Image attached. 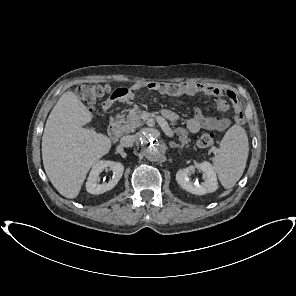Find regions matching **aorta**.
I'll return each instance as SVG.
<instances>
[{
    "label": "aorta",
    "instance_id": "obj_1",
    "mask_svg": "<svg viewBox=\"0 0 296 296\" xmlns=\"http://www.w3.org/2000/svg\"><path fill=\"white\" fill-rule=\"evenodd\" d=\"M139 144L145 157L150 161H158L164 156V145L148 132H144L139 136Z\"/></svg>",
    "mask_w": 296,
    "mask_h": 296
}]
</instances>
